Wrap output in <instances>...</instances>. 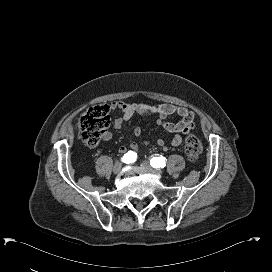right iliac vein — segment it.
Masks as SVG:
<instances>
[{
	"label": "right iliac vein",
	"mask_w": 272,
	"mask_h": 272,
	"mask_svg": "<svg viewBox=\"0 0 272 272\" xmlns=\"http://www.w3.org/2000/svg\"><path fill=\"white\" fill-rule=\"evenodd\" d=\"M122 169V164L121 163H116L114 166H113V172L115 174H118Z\"/></svg>",
	"instance_id": "63e3f726"
}]
</instances>
